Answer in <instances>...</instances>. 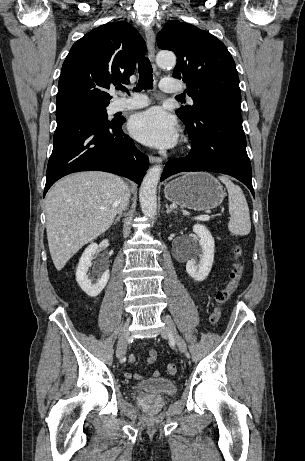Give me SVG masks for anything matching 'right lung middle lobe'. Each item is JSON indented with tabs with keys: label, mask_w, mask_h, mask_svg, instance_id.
<instances>
[{
	"label": "right lung middle lobe",
	"mask_w": 305,
	"mask_h": 461,
	"mask_svg": "<svg viewBox=\"0 0 305 461\" xmlns=\"http://www.w3.org/2000/svg\"><path fill=\"white\" fill-rule=\"evenodd\" d=\"M108 105V103H89L60 107L56 110V116L62 114H76L95 121L109 122L106 111Z\"/></svg>",
	"instance_id": "dd1d6c3e"
}]
</instances>
